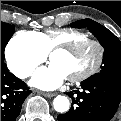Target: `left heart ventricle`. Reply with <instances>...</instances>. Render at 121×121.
Here are the masks:
<instances>
[{
    "label": "left heart ventricle",
    "mask_w": 121,
    "mask_h": 121,
    "mask_svg": "<svg viewBox=\"0 0 121 121\" xmlns=\"http://www.w3.org/2000/svg\"><path fill=\"white\" fill-rule=\"evenodd\" d=\"M96 56V48L88 46L75 55L55 52L50 56V61L63 72L66 78H69L86 70L95 61Z\"/></svg>",
    "instance_id": "b2bd125f"
}]
</instances>
